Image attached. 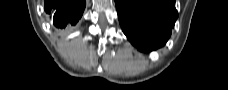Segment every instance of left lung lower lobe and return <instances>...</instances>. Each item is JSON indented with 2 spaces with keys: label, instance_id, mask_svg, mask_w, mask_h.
I'll list each match as a JSON object with an SVG mask.
<instances>
[{
  "label": "left lung lower lobe",
  "instance_id": "left-lung-lower-lobe-1",
  "mask_svg": "<svg viewBox=\"0 0 228 90\" xmlns=\"http://www.w3.org/2000/svg\"><path fill=\"white\" fill-rule=\"evenodd\" d=\"M115 4L123 32L144 52L166 43L178 17L175 0H115Z\"/></svg>",
  "mask_w": 228,
  "mask_h": 90
}]
</instances>
